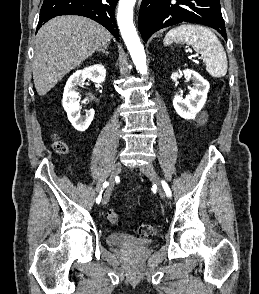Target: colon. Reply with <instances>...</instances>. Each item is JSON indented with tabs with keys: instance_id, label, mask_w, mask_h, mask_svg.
<instances>
[{
	"instance_id": "5ec220e1",
	"label": "colon",
	"mask_w": 259,
	"mask_h": 294,
	"mask_svg": "<svg viewBox=\"0 0 259 294\" xmlns=\"http://www.w3.org/2000/svg\"><path fill=\"white\" fill-rule=\"evenodd\" d=\"M54 149L56 152L64 154L67 152V145L63 141L56 139L54 142ZM107 216L112 224H119L118 214L113 209L108 210ZM155 233L156 227L145 223L140 224L136 230V235L143 238L153 236Z\"/></svg>"
}]
</instances>
